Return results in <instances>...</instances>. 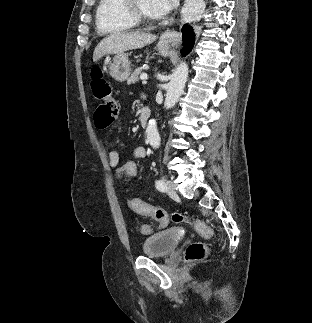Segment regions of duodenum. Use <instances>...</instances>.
<instances>
[{"label": "duodenum", "mask_w": 312, "mask_h": 323, "mask_svg": "<svg viewBox=\"0 0 312 323\" xmlns=\"http://www.w3.org/2000/svg\"><path fill=\"white\" fill-rule=\"evenodd\" d=\"M151 116V109L148 106H144L139 113V123L142 128H145Z\"/></svg>", "instance_id": "1"}]
</instances>
